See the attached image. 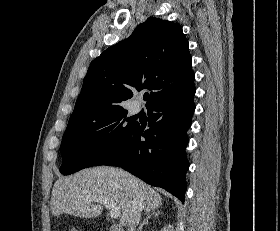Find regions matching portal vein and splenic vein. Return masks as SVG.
Here are the masks:
<instances>
[{
	"label": "portal vein and splenic vein",
	"instance_id": "1",
	"mask_svg": "<svg viewBox=\"0 0 280 231\" xmlns=\"http://www.w3.org/2000/svg\"><path fill=\"white\" fill-rule=\"evenodd\" d=\"M101 203H104V205H108V201H102V199H100ZM120 211H119V207H111L110 211H109V215L110 217H118Z\"/></svg>",
	"mask_w": 280,
	"mask_h": 231
}]
</instances>
